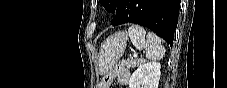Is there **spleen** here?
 Instances as JSON below:
<instances>
[{"mask_svg":"<svg viewBox=\"0 0 227 88\" xmlns=\"http://www.w3.org/2000/svg\"><path fill=\"white\" fill-rule=\"evenodd\" d=\"M128 34L132 44L138 50H146L149 60H160L165 55V48L161 45V39L152 32H146L139 25H131Z\"/></svg>","mask_w":227,"mask_h":88,"instance_id":"1","label":"spleen"}]
</instances>
